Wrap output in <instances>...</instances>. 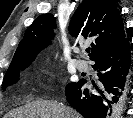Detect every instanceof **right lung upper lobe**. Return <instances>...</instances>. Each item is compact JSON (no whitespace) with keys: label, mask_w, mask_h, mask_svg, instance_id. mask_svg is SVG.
Instances as JSON below:
<instances>
[{"label":"right lung upper lobe","mask_w":133,"mask_h":118,"mask_svg":"<svg viewBox=\"0 0 133 118\" xmlns=\"http://www.w3.org/2000/svg\"><path fill=\"white\" fill-rule=\"evenodd\" d=\"M56 21L52 14H43L27 28L9 66L33 61L43 48L51 43ZM70 33L95 39L89 54L93 60L101 52L126 39L120 12L114 0H83L74 13Z\"/></svg>","instance_id":"right-lung-upper-lobe-1"}]
</instances>
